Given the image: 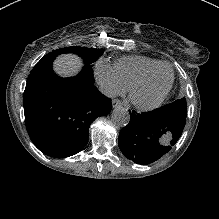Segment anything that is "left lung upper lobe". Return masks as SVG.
<instances>
[{
    "label": "left lung upper lobe",
    "mask_w": 219,
    "mask_h": 219,
    "mask_svg": "<svg viewBox=\"0 0 219 219\" xmlns=\"http://www.w3.org/2000/svg\"><path fill=\"white\" fill-rule=\"evenodd\" d=\"M161 110L172 112L176 115H179L183 118H186V115H187L186 99L185 98L178 99V100H176L175 102H173L171 104L164 105L161 108Z\"/></svg>",
    "instance_id": "1"
}]
</instances>
